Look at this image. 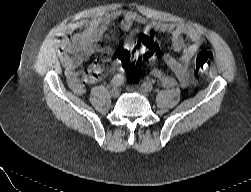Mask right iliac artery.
<instances>
[{
    "label": "right iliac artery",
    "mask_w": 251,
    "mask_h": 192,
    "mask_svg": "<svg viewBox=\"0 0 251 192\" xmlns=\"http://www.w3.org/2000/svg\"><path fill=\"white\" fill-rule=\"evenodd\" d=\"M124 81H125V77L121 74H117L112 78V80L110 82V86H112L114 88L119 87L124 83Z\"/></svg>",
    "instance_id": "82829eb1"
}]
</instances>
